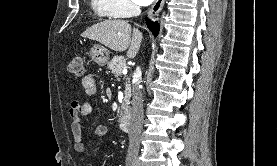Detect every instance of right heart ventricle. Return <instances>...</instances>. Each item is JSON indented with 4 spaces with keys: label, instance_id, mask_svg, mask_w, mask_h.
<instances>
[{
    "label": "right heart ventricle",
    "instance_id": "right-heart-ventricle-1",
    "mask_svg": "<svg viewBox=\"0 0 277 166\" xmlns=\"http://www.w3.org/2000/svg\"><path fill=\"white\" fill-rule=\"evenodd\" d=\"M92 10L97 16L103 19H111L116 17L108 5L107 0H90Z\"/></svg>",
    "mask_w": 277,
    "mask_h": 166
}]
</instances>
